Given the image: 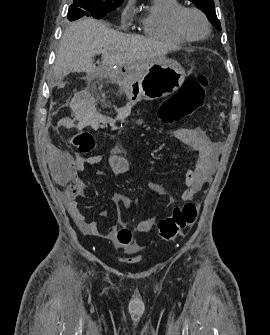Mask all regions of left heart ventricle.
<instances>
[{
  "label": "left heart ventricle",
  "mask_w": 270,
  "mask_h": 335,
  "mask_svg": "<svg viewBox=\"0 0 270 335\" xmlns=\"http://www.w3.org/2000/svg\"><path fill=\"white\" fill-rule=\"evenodd\" d=\"M183 26L192 37L199 38L205 34L204 21L194 12H187L184 15Z\"/></svg>",
  "instance_id": "1"
}]
</instances>
